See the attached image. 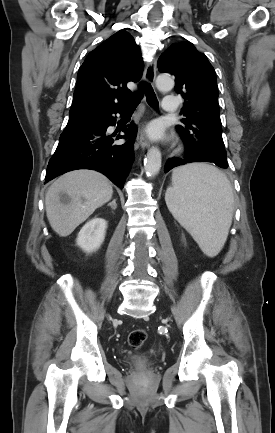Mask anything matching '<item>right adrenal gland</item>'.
Segmentation results:
<instances>
[{
  "mask_svg": "<svg viewBox=\"0 0 275 433\" xmlns=\"http://www.w3.org/2000/svg\"><path fill=\"white\" fill-rule=\"evenodd\" d=\"M108 206H111L112 209H116V207H117L116 199H113V201L110 202V203L108 204Z\"/></svg>",
  "mask_w": 275,
  "mask_h": 433,
  "instance_id": "right-adrenal-gland-1",
  "label": "right adrenal gland"
}]
</instances>
